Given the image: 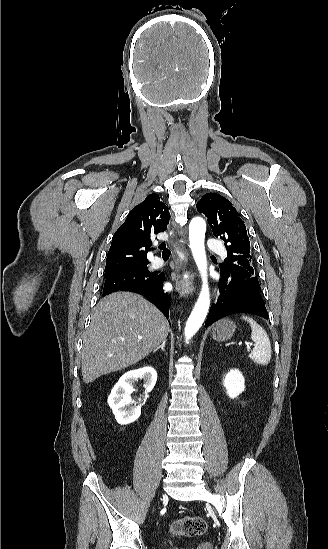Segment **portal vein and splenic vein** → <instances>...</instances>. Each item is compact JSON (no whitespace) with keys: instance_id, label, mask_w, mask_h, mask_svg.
Masks as SVG:
<instances>
[{"instance_id":"portal-vein-and-splenic-vein-1","label":"portal vein and splenic vein","mask_w":328,"mask_h":549,"mask_svg":"<svg viewBox=\"0 0 328 549\" xmlns=\"http://www.w3.org/2000/svg\"><path fill=\"white\" fill-rule=\"evenodd\" d=\"M238 345H242V343H238ZM252 347H256V344H252ZM247 348H248V349L250 348L249 343H247Z\"/></svg>"}]
</instances>
